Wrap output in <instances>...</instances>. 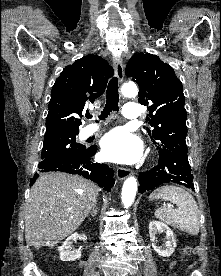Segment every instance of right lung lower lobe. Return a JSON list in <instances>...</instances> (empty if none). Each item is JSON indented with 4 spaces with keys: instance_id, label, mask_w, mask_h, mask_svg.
Returning a JSON list of instances; mask_svg holds the SVG:
<instances>
[{
    "instance_id": "98d812e1",
    "label": "right lung lower lobe",
    "mask_w": 221,
    "mask_h": 276,
    "mask_svg": "<svg viewBox=\"0 0 221 276\" xmlns=\"http://www.w3.org/2000/svg\"><path fill=\"white\" fill-rule=\"evenodd\" d=\"M96 151L97 147L92 146L82 153L44 159L39 163V171H63L82 175L96 182L104 190L110 191L114 185L113 169L105 164L93 163L91 161ZM38 176L37 173L34 175V178L30 180V185L35 182Z\"/></svg>"
}]
</instances>
